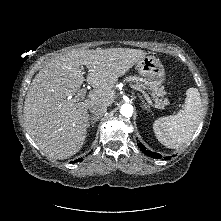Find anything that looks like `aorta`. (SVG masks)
I'll list each match as a JSON object with an SVG mask.
<instances>
[{
    "label": "aorta",
    "mask_w": 221,
    "mask_h": 221,
    "mask_svg": "<svg viewBox=\"0 0 221 221\" xmlns=\"http://www.w3.org/2000/svg\"><path fill=\"white\" fill-rule=\"evenodd\" d=\"M120 114L124 117H131L133 114V107L130 104H123L120 108Z\"/></svg>",
    "instance_id": "aorta-1"
}]
</instances>
